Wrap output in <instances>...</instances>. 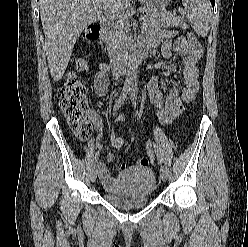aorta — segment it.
Masks as SVG:
<instances>
[{
    "label": "aorta",
    "instance_id": "aorta-1",
    "mask_svg": "<svg viewBox=\"0 0 248 247\" xmlns=\"http://www.w3.org/2000/svg\"><path fill=\"white\" fill-rule=\"evenodd\" d=\"M135 78H136V66L134 60L129 58V62L127 65V72L125 75V86L127 87L133 86Z\"/></svg>",
    "mask_w": 248,
    "mask_h": 247
}]
</instances>
